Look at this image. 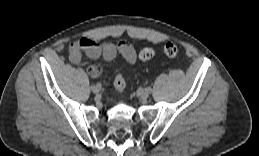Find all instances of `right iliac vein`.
<instances>
[{"label": "right iliac vein", "instance_id": "right-iliac-vein-1", "mask_svg": "<svg viewBox=\"0 0 259 156\" xmlns=\"http://www.w3.org/2000/svg\"><path fill=\"white\" fill-rule=\"evenodd\" d=\"M100 90H101L100 85H95V88L92 91L97 94L100 92Z\"/></svg>", "mask_w": 259, "mask_h": 156}]
</instances>
